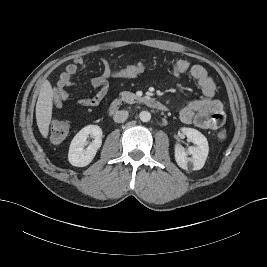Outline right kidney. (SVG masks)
<instances>
[{"instance_id": "1", "label": "right kidney", "mask_w": 267, "mask_h": 267, "mask_svg": "<svg viewBox=\"0 0 267 267\" xmlns=\"http://www.w3.org/2000/svg\"><path fill=\"white\" fill-rule=\"evenodd\" d=\"M102 134V129L98 125H88L82 128L71 141L68 152L70 164L76 167L87 166L101 147ZM89 137L93 138V142L85 148Z\"/></svg>"}]
</instances>
